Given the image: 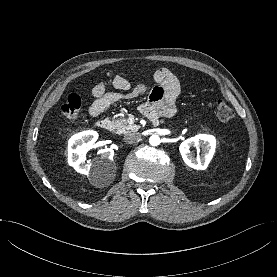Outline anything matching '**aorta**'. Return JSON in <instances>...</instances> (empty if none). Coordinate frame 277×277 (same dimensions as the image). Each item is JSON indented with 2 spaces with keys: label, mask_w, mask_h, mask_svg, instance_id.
Returning <instances> with one entry per match:
<instances>
[{
  "label": "aorta",
  "mask_w": 277,
  "mask_h": 277,
  "mask_svg": "<svg viewBox=\"0 0 277 277\" xmlns=\"http://www.w3.org/2000/svg\"><path fill=\"white\" fill-rule=\"evenodd\" d=\"M161 140L160 137L158 135H152L149 139V143L152 146H158L160 144Z\"/></svg>",
  "instance_id": "obj_1"
}]
</instances>
